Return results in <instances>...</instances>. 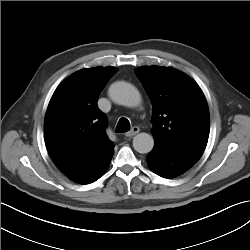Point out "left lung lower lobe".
Instances as JSON below:
<instances>
[{"label":"left lung lower lobe","mask_w":250,"mask_h":250,"mask_svg":"<svg viewBox=\"0 0 250 250\" xmlns=\"http://www.w3.org/2000/svg\"><path fill=\"white\" fill-rule=\"evenodd\" d=\"M202 154L191 150L168 149L155 144L148 153L147 164L158 175L173 178L190 169Z\"/></svg>","instance_id":"left-lung-lower-lobe-1"}]
</instances>
